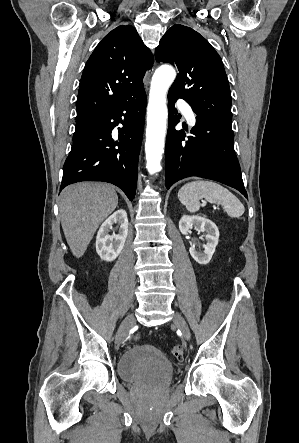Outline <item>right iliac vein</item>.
<instances>
[{
  "mask_svg": "<svg viewBox=\"0 0 299 443\" xmlns=\"http://www.w3.org/2000/svg\"><path fill=\"white\" fill-rule=\"evenodd\" d=\"M136 323L135 316L133 314L128 315L122 324L120 325L117 337H116V344L121 345L127 336L128 330L132 328Z\"/></svg>",
  "mask_w": 299,
  "mask_h": 443,
  "instance_id": "right-iliac-vein-1",
  "label": "right iliac vein"
}]
</instances>
